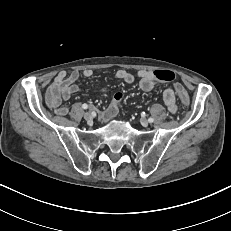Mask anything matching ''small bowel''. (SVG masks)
<instances>
[{
	"mask_svg": "<svg viewBox=\"0 0 231 231\" xmlns=\"http://www.w3.org/2000/svg\"><path fill=\"white\" fill-rule=\"evenodd\" d=\"M154 72L149 70H140L137 74L139 78V86L143 91H151L156 86ZM93 75L91 69L82 71H73L67 74L61 71L54 78V81L48 90L49 105L55 110L58 115H66L68 108L61 105L62 100H68L73 94L79 91V86L76 83L80 76L89 78ZM115 77L126 84H132L135 81V76L127 70L119 69L115 73ZM105 92V90H103ZM163 100L169 111L175 113L177 111V103L175 91L172 88H167L163 94ZM118 112V102L114 99L113 102L100 113V117L104 121L111 120Z\"/></svg>",
	"mask_w": 231,
	"mask_h": 231,
	"instance_id": "small-bowel-1",
	"label": "small bowel"
}]
</instances>
